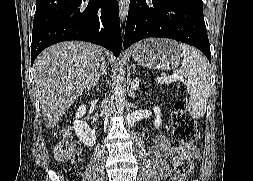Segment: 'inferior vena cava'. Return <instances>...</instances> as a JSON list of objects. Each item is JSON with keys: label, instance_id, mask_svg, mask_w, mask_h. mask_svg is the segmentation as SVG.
I'll list each match as a JSON object with an SVG mask.
<instances>
[{"label": "inferior vena cava", "instance_id": "1", "mask_svg": "<svg viewBox=\"0 0 253 181\" xmlns=\"http://www.w3.org/2000/svg\"><path fill=\"white\" fill-rule=\"evenodd\" d=\"M108 102V106L105 105V114H106V118L108 120H111V112H110V105H111V102L110 101H106V104Z\"/></svg>", "mask_w": 253, "mask_h": 181}]
</instances>
